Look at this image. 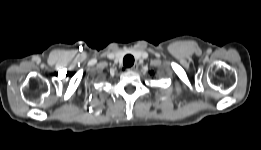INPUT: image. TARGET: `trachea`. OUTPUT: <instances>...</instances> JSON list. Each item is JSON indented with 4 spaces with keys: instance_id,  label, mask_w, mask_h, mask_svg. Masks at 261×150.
Returning a JSON list of instances; mask_svg holds the SVG:
<instances>
[{
    "instance_id": "3493384b",
    "label": "trachea",
    "mask_w": 261,
    "mask_h": 150,
    "mask_svg": "<svg viewBox=\"0 0 261 150\" xmlns=\"http://www.w3.org/2000/svg\"><path fill=\"white\" fill-rule=\"evenodd\" d=\"M124 66L131 67L134 64V57L132 55H126L123 59Z\"/></svg>"
}]
</instances>
